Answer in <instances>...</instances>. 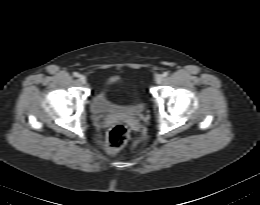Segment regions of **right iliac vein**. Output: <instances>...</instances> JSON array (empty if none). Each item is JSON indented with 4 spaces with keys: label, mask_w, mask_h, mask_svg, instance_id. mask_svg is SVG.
I'll list each match as a JSON object with an SVG mask.
<instances>
[{
    "label": "right iliac vein",
    "mask_w": 260,
    "mask_h": 205,
    "mask_svg": "<svg viewBox=\"0 0 260 205\" xmlns=\"http://www.w3.org/2000/svg\"><path fill=\"white\" fill-rule=\"evenodd\" d=\"M79 81H80V83L85 84L87 79H86V77L84 75H80L79 76Z\"/></svg>",
    "instance_id": "63e3f726"
}]
</instances>
